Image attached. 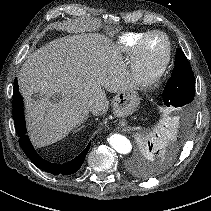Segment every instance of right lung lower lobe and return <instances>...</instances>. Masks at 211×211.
I'll return each mask as SVG.
<instances>
[{
	"label": "right lung lower lobe",
	"mask_w": 211,
	"mask_h": 211,
	"mask_svg": "<svg viewBox=\"0 0 211 211\" xmlns=\"http://www.w3.org/2000/svg\"><path fill=\"white\" fill-rule=\"evenodd\" d=\"M12 105H13L14 124L16 132L20 137L19 139L20 146L36 166L54 175H59V174L71 175L79 170V168L84 162L87 152L89 151L91 142L88 143L87 147L83 150V152H81L76 158L67 163L54 164L48 162L37 154V152L32 147L28 136L26 135L23 100L19 92L17 79H15L14 81Z\"/></svg>",
	"instance_id": "right-lung-lower-lobe-1"
}]
</instances>
